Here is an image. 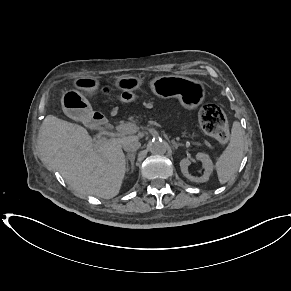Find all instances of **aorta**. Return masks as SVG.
<instances>
[{"label": "aorta", "mask_w": 291, "mask_h": 291, "mask_svg": "<svg viewBox=\"0 0 291 291\" xmlns=\"http://www.w3.org/2000/svg\"><path fill=\"white\" fill-rule=\"evenodd\" d=\"M167 147H168L167 143L159 139L152 140L148 144L149 151L152 154L158 155L166 153Z\"/></svg>", "instance_id": "762f6f07"}]
</instances>
